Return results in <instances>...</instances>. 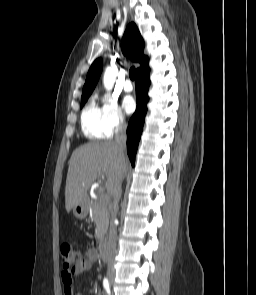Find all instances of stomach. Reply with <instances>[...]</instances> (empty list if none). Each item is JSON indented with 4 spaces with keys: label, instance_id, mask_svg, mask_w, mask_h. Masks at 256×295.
<instances>
[{
    "label": "stomach",
    "instance_id": "obj_1",
    "mask_svg": "<svg viewBox=\"0 0 256 295\" xmlns=\"http://www.w3.org/2000/svg\"><path fill=\"white\" fill-rule=\"evenodd\" d=\"M88 214V206L86 203H81L73 207V215L80 219L83 220L86 218Z\"/></svg>",
    "mask_w": 256,
    "mask_h": 295
}]
</instances>
